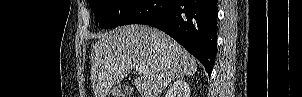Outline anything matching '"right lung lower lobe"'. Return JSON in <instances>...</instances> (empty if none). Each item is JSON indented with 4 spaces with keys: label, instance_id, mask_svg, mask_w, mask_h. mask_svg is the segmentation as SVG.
Listing matches in <instances>:
<instances>
[{
    "label": "right lung lower lobe",
    "instance_id": "obj_1",
    "mask_svg": "<svg viewBox=\"0 0 302 97\" xmlns=\"http://www.w3.org/2000/svg\"><path fill=\"white\" fill-rule=\"evenodd\" d=\"M217 0H144L122 22L156 27L199 59L210 75L217 50Z\"/></svg>",
    "mask_w": 302,
    "mask_h": 97
}]
</instances>
